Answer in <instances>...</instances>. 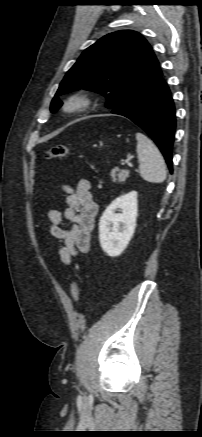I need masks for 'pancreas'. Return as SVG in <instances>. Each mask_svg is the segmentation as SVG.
<instances>
[{
  "mask_svg": "<svg viewBox=\"0 0 202 437\" xmlns=\"http://www.w3.org/2000/svg\"><path fill=\"white\" fill-rule=\"evenodd\" d=\"M117 172H119L117 174ZM111 179L113 182H125L126 179L129 177V171L127 170H119L118 168H113L111 173H110Z\"/></svg>",
  "mask_w": 202,
  "mask_h": 437,
  "instance_id": "1",
  "label": "pancreas"
}]
</instances>
